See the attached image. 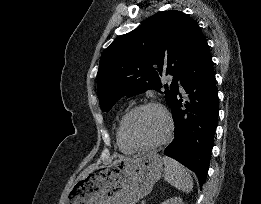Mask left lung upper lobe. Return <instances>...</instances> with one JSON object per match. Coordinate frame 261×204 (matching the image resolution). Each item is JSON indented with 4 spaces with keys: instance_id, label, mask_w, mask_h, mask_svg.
Instances as JSON below:
<instances>
[{
    "instance_id": "1",
    "label": "left lung upper lobe",
    "mask_w": 261,
    "mask_h": 204,
    "mask_svg": "<svg viewBox=\"0 0 261 204\" xmlns=\"http://www.w3.org/2000/svg\"><path fill=\"white\" fill-rule=\"evenodd\" d=\"M200 30L185 13L168 10L144 21L137 29L115 39L100 59L97 73L99 103L108 112L124 96L148 89L160 91L164 74L173 75L166 100L172 104L180 71Z\"/></svg>"
}]
</instances>
